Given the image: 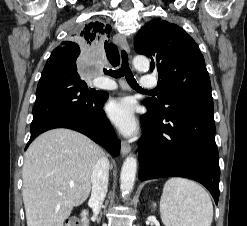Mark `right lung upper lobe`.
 I'll list each match as a JSON object with an SVG mask.
<instances>
[{"label":"right lung upper lobe","mask_w":247,"mask_h":226,"mask_svg":"<svg viewBox=\"0 0 247 226\" xmlns=\"http://www.w3.org/2000/svg\"><path fill=\"white\" fill-rule=\"evenodd\" d=\"M111 27L109 25H104L101 22H90L89 24L85 25L83 30L78 34V37L81 39L82 42L85 44H98L104 43V47L106 50L107 58L109 62L113 66L119 65V54L118 50L115 45L109 44L107 37H109ZM61 46H70L75 49H80L79 46L74 42H63Z\"/></svg>","instance_id":"1"}]
</instances>
